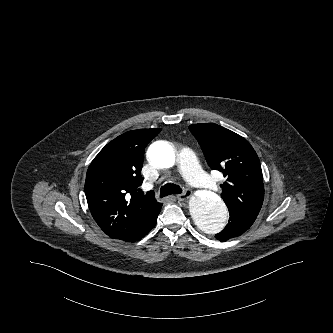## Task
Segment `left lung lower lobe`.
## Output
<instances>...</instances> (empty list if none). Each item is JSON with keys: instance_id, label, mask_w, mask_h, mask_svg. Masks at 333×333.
Here are the masks:
<instances>
[{"instance_id": "obj_1", "label": "left lung lower lobe", "mask_w": 333, "mask_h": 333, "mask_svg": "<svg viewBox=\"0 0 333 333\" xmlns=\"http://www.w3.org/2000/svg\"><path fill=\"white\" fill-rule=\"evenodd\" d=\"M255 219L242 216L238 213H230L229 222L220 233L215 237L224 242L230 238L237 237L244 233L254 223Z\"/></svg>"}]
</instances>
